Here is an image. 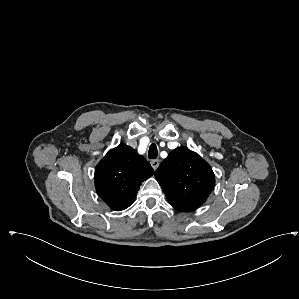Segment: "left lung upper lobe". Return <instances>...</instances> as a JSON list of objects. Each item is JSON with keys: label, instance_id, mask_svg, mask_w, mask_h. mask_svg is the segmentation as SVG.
Returning <instances> with one entry per match:
<instances>
[{"label": "left lung upper lobe", "instance_id": "obj_1", "mask_svg": "<svg viewBox=\"0 0 299 299\" xmlns=\"http://www.w3.org/2000/svg\"><path fill=\"white\" fill-rule=\"evenodd\" d=\"M155 177L169 203L183 212L201 206L215 184V176L209 164L185 147L171 151L160 164Z\"/></svg>", "mask_w": 299, "mask_h": 299}]
</instances>
